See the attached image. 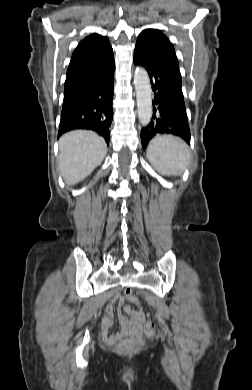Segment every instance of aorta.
I'll return each mask as SVG.
<instances>
[{"mask_svg":"<svg viewBox=\"0 0 252 390\" xmlns=\"http://www.w3.org/2000/svg\"><path fill=\"white\" fill-rule=\"evenodd\" d=\"M134 84L138 107V118L143 126H147L152 117V89L147 71L137 67L134 73Z\"/></svg>","mask_w":252,"mask_h":390,"instance_id":"aorta-1","label":"aorta"}]
</instances>
